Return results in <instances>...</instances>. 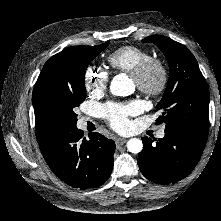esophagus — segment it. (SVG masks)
<instances>
[{
	"label": "esophagus",
	"mask_w": 221,
	"mask_h": 221,
	"mask_svg": "<svg viewBox=\"0 0 221 221\" xmlns=\"http://www.w3.org/2000/svg\"><path fill=\"white\" fill-rule=\"evenodd\" d=\"M125 143H126V140L123 139V138H117L116 141H115V144H116L117 148L124 145Z\"/></svg>",
	"instance_id": "esophagus-1"
}]
</instances>
